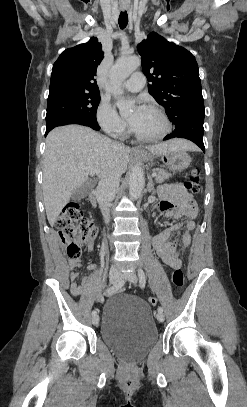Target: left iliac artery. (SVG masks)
<instances>
[{
  "label": "left iliac artery",
  "mask_w": 247,
  "mask_h": 407,
  "mask_svg": "<svg viewBox=\"0 0 247 407\" xmlns=\"http://www.w3.org/2000/svg\"><path fill=\"white\" fill-rule=\"evenodd\" d=\"M138 277H139V284H140V287H141V288H144V287H145V284H146V276H145L144 271H143L141 268L138 269ZM157 310H158V312H163V308H162V307H158Z\"/></svg>",
  "instance_id": "1"
}]
</instances>
